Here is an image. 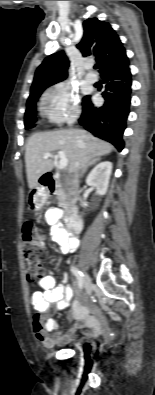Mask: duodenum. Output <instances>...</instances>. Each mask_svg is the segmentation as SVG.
I'll use <instances>...</instances> for the list:
<instances>
[{
	"instance_id": "1",
	"label": "duodenum",
	"mask_w": 155,
	"mask_h": 395,
	"mask_svg": "<svg viewBox=\"0 0 155 395\" xmlns=\"http://www.w3.org/2000/svg\"><path fill=\"white\" fill-rule=\"evenodd\" d=\"M42 185L51 192H54L57 187V181L52 174H47L43 177ZM68 228L74 232H79L83 227V221L75 206H72L65 217Z\"/></svg>"
}]
</instances>
